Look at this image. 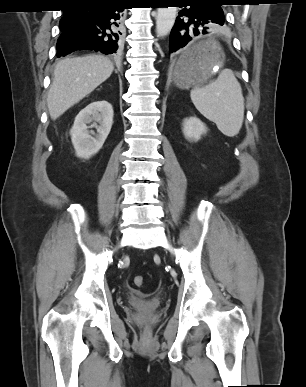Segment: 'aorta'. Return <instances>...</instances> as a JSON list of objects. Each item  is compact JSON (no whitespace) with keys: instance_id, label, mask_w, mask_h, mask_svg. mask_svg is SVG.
<instances>
[{"instance_id":"1","label":"aorta","mask_w":306,"mask_h":387,"mask_svg":"<svg viewBox=\"0 0 306 387\" xmlns=\"http://www.w3.org/2000/svg\"><path fill=\"white\" fill-rule=\"evenodd\" d=\"M177 7H159L156 17V34L159 37L168 35L175 23Z\"/></svg>"}]
</instances>
